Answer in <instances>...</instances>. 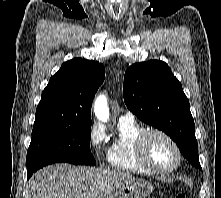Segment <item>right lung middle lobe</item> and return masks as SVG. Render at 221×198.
Masks as SVG:
<instances>
[{
	"mask_svg": "<svg viewBox=\"0 0 221 198\" xmlns=\"http://www.w3.org/2000/svg\"><path fill=\"white\" fill-rule=\"evenodd\" d=\"M91 125L68 127L34 126L27 151V174L52 163L95 165L90 150Z\"/></svg>",
	"mask_w": 221,
	"mask_h": 198,
	"instance_id": "dd1d6c3e",
	"label": "right lung middle lobe"
}]
</instances>
